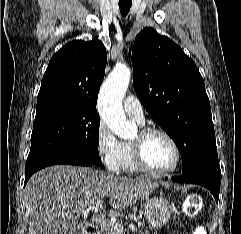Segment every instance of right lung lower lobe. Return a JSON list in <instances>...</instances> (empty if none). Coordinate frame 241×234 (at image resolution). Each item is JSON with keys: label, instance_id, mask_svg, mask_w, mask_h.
Here are the masks:
<instances>
[{"label": "right lung lower lobe", "instance_id": "right-lung-lower-lobe-1", "mask_svg": "<svg viewBox=\"0 0 241 234\" xmlns=\"http://www.w3.org/2000/svg\"><path fill=\"white\" fill-rule=\"evenodd\" d=\"M56 164L82 166L94 165L90 159L66 146L51 145L42 147L37 150L30 151L28 155L24 186L34 172L44 167Z\"/></svg>", "mask_w": 241, "mask_h": 234}]
</instances>
